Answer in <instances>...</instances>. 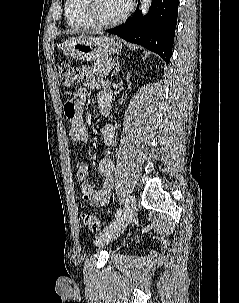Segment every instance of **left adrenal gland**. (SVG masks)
<instances>
[{
    "mask_svg": "<svg viewBox=\"0 0 239 303\" xmlns=\"http://www.w3.org/2000/svg\"><path fill=\"white\" fill-rule=\"evenodd\" d=\"M119 71H120V63H119V61H117L116 67H115V69H114L111 77H113L114 75H116Z\"/></svg>",
    "mask_w": 239,
    "mask_h": 303,
    "instance_id": "a2214340",
    "label": "left adrenal gland"
}]
</instances>
